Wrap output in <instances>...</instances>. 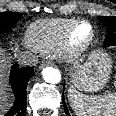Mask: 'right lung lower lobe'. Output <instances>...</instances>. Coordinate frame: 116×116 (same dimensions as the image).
<instances>
[{
	"label": "right lung lower lobe",
	"mask_w": 116,
	"mask_h": 116,
	"mask_svg": "<svg viewBox=\"0 0 116 116\" xmlns=\"http://www.w3.org/2000/svg\"><path fill=\"white\" fill-rule=\"evenodd\" d=\"M34 75L32 67L19 68L17 65L11 67L10 84L15 95L12 108L4 116H23L26 111L27 84Z\"/></svg>",
	"instance_id": "obj_1"
}]
</instances>
